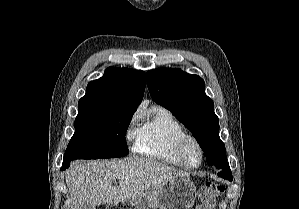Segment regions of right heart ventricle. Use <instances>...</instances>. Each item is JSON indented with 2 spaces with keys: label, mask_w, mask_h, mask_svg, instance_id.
I'll use <instances>...</instances> for the list:
<instances>
[{
  "label": "right heart ventricle",
  "mask_w": 299,
  "mask_h": 209,
  "mask_svg": "<svg viewBox=\"0 0 299 209\" xmlns=\"http://www.w3.org/2000/svg\"><path fill=\"white\" fill-rule=\"evenodd\" d=\"M186 135L171 112L154 106L136 129L134 151L166 164L181 166L175 156L177 141Z\"/></svg>",
  "instance_id": "e07e8e85"
}]
</instances>
